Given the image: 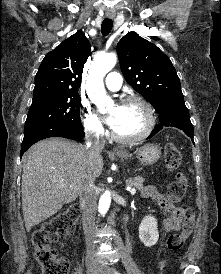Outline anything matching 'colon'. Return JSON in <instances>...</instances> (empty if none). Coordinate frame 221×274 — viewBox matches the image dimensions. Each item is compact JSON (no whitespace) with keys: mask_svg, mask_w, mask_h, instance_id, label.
I'll return each instance as SVG.
<instances>
[{"mask_svg":"<svg viewBox=\"0 0 221 274\" xmlns=\"http://www.w3.org/2000/svg\"><path fill=\"white\" fill-rule=\"evenodd\" d=\"M165 166L168 172H175L181 163V153L172 142L164 148ZM187 190V179L181 172L176 173L175 180L170 183L166 192V199L173 203L180 201ZM80 214L79 207L73 205L53 219L43 223L31 234V243L34 248V258L43 274H68L69 264L57 255L52 243L70 235L77 223ZM194 212L187 208L184 214V223L179 233L171 234L167 240L170 251L179 250L192 232Z\"/></svg>","mask_w":221,"mask_h":274,"instance_id":"1","label":"colon"}]
</instances>
